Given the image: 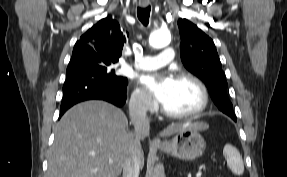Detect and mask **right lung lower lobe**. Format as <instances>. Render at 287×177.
Here are the masks:
<instances>
[{"label":"right lung lower lobe","mask_w":287,"mask_h":177,"mask_svg":"<svg viewBox=\"0 0 287 177\" xmlns=\"http://www.w3.org/2000/svg\"><path fill=\"white\" fill-rule=\"evenodd\" d=\"M127 83V79L112 81L93 74L67 76L59 117L73 105L86 100H104L122 107L126 101Z\"/></svg>","instance_id":"right-lung-lower-lobe-1"}]
</instances>
